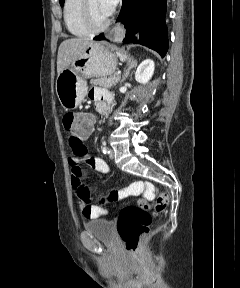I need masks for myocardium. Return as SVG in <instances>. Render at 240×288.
I'll return each instance as SVG.
<instances>
[{
  "label": "myocardium",
  "mask_w": 240,
  "mask_h": 288,
  "mask_svg": "<svg viewBox=\"0 0 240 288\" xmlns=\"http://www.w3.org/2000/svg\"><path fill=\"white\" fill-rule=\"evenodd\" d=\"M81 17L84 27L90 32V33H98L101 31H104L108 28V26L111 23V19L108 18L104 23L97 25L94 23L91 11L89 7V0H82V8H81Z\"/></svg>",
  "instance_id": "f54148a6"
}]
</instances>
